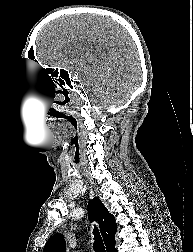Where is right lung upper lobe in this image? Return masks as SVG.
<instances>
[{"label":"right lung upper lobe","instance_id":"1","mask_svg":"<svg viewBox=\"0 0 193 252\" xmlns=\"http://www.w3.org/2000/svg\"><path fill=\"white\" fill-rule=\"evenodd\" d=\"M87 209L89 218L98 222L107 252H112L115 248V233L117 229L114 216L108 212L98 197L90 200ZM65 248L66 243L63 235L54 234L45 244L43 252H65Z\"/></svg>","mask_w":193,"mask_h":252}]
</instances>
